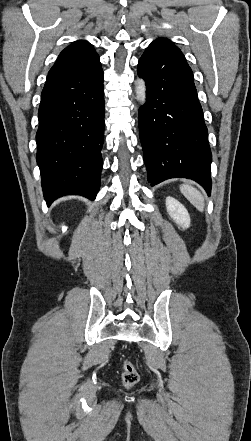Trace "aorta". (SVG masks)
<instances>
[{
    "instance_id": "aorta-1",
    "label": "aorta",
    "mask_w": 251,
    "mask_h": 441,
    "mask_svg": "<svg viewBox=\"0 0 251 441\" xmlns=\"http://www.w3.org/2000/svg\"><path fill=\"white\" fill-rule=\"evenodd\" d=\"M135 92L136 98L141 103L144 104L146 102V84L143 79H137L135 82Z\"/></svg>"
}]
</instances>
